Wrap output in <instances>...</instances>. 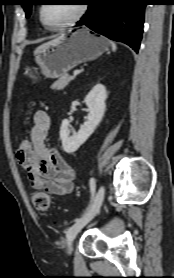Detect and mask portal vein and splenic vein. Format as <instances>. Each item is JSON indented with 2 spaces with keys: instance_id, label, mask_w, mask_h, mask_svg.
Instances as JSON below:
<instances>
[{
  "instance_id": "portal-vein-and-splenic-vein-1",
  "label": "portal vein and splenic vein",
  "mask_w": 174,
  "mask_h": 278,
  "mask_svg": "<svg viewBox=\"0 0 174 278\" xmlns=\"http://www.w3.org/2000/svg\"><path fill=\"white\" fill-rule=\"evenodd\" d=\"M78 74H79V71L78 70H74L73 76H77Z\"/></svg>"
}]
</instances>
